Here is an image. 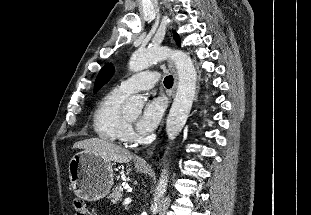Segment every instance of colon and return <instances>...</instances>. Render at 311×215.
I'll list each match as a JSON object with an SVG mask.
<instances>
[{
    "label": "colon",
    "mask_w": 311,
    "mask_h": 215,
    "mask_svg": "<svg viewBox=\"0 0 311 215\" xmlns=\"http://www.w3.org/2000/svg\"><path fill=\"white\" fill-rule=\"evenodd\" d=\"M74 215H92L86 204L80 200L74 202Z\"/></svg>",
    "instance_id": "obj_1"
}]
</instances>
